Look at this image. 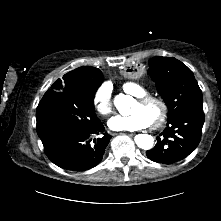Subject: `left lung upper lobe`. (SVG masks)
Returning a JSON list of instances; mask_svg holds the SVG:
<instances>
[{"instance_id": "1", "label": "left lung upper lobe", "mask_w": 221, "mask_h": 221, "mask_svg": "<svg viewBox=\"0 0 221 221\" xmlns=\"http://www.w3.org/2000/svg\"><path fill=\"white\" fill-rule=\"evenodd\" d=\"M148 74L156 82L158 91L167 104L168 121L183 113L203 108L202 91L193 72L179 60L156 56L149 61ZM175 149L174 142L170 146H165L163 149L165 159L173 156Z\"/></svg>"}]
</instances>
